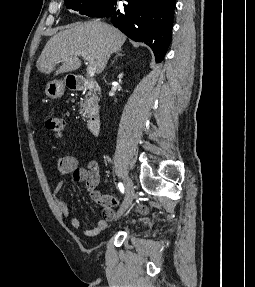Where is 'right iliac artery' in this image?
Here are the masks:
<instances>
[{
  "instance_id": "right-iliac-artery-1",
  "label": "right iliac artery",
  "mask_w": 255,
  "mask_h": 287,
  "mask_svg": "<svg viewBox=\"0 0 255 287\" xmlns=\"http://www.w3.org/2000/svg\"><path fill=\"white\" fill-rule=\"evenodd\" d=\"M118 187H119V190H120L122 193H124V186H123V184H122V183H119V184H118Z\"/></svg>"
}]
</instances>
